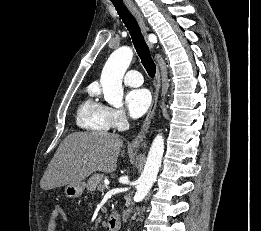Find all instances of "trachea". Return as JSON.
<instances>
[{
	"instance_id": "obj_1",
	"label": "trachea",
	"mask_w": 261,
	"mask_h": 231,
	"mask_svg": "<svg viewBox=\"0 0 261 231\" xmlns=\"http://www.w3.org/2000/svg\"><path fill=\"white\" fill-rule=\"evenodd\" d=\"M111 1L131 35L135 49L137 51L138 56L141 59L144 68L146 69L148 75L151 78H154L156 73V65L151 57L149 48L145 42V39L141 33L140 27L136 19L133 17V15L124 5L122 0L121 1L111 0Z\"/></svg>"
}]
</instances>
